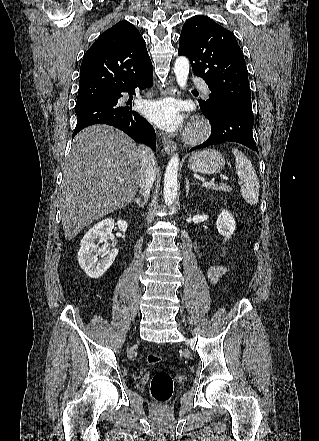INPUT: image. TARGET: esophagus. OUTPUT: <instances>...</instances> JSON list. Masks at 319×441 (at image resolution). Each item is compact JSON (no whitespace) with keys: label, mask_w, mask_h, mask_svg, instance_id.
<instances>
[{"label":"esophagus","mask_w":319,"mask_h":441,"mask_svg":"<svg viewBox=\"0 0 319 441\" xmlns=\"http://www.w3.org/2000/svg\"><path fill=\"white\" fill-rule=\"evenodd\" d=\"M164 96H172V97H176L179 95V91L178 88L175 84H171L164 92H163ZM162 143H163V147L164 150L166 151V153L168 155H171L174 153V151L176 150V143L173 141V139L170 136L167 135H163L162 137Z\"/></svg>","instance_id":"esophagus-1"}]
</instances>
